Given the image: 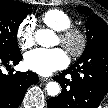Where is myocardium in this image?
Listing matches in <instances>:
<instances>
[{
    "instance_id": "1",
    "label": "myocardium",
    "mask_w": 108,
    "mask_h": 108,
    "mask_svg": "<svg viewBox=\"0 0 108 108\" xmlns=\"http://www.w3.org/2000/svg\"><path fill=\"white\" fill-rule=\"evenodd\" d=\"M59 41L61 45L74 57L80 56L86 49V34L79 28L69 27L60 31Z\"/></svg>"
}]
</instances>
